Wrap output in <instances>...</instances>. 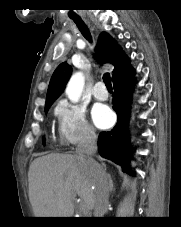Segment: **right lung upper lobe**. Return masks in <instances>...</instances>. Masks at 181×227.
Masks as SVG:
<instances>
[{
    "mask_svg": "<svg viewBox=\"0 0 181 227\" xmlns=\"http://www.w3.org/2000/svg\"><path fill=\"white\" fill-rule=\"evenodd\" d=\"M96 58L100 62L113 64L114 76L121 67L126 55L112 37H110L106 32H102L99 35L97 42ZM71 72L72 67L66 62L61 63L56 68L48 86L45 105L52 104L63 92L65 85L70 78Z\"/></svg>",
    "mask_w": 181,
    "mask_h": 227,
    "instance_id": "cb5924a9",
    "label": "right lung upper lobe"
}]
</instances>
